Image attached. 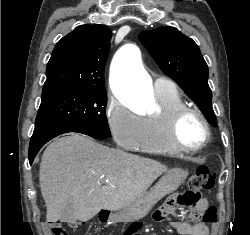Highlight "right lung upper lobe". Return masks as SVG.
Segmentation results:
<instances>
[{"mask_svg":"<svg viewBox=\"0 0 250 235\" xmlns=\"http://www.w3.org/2000/svg\"><path fill=\"white\" fill-rule=\"evenodd\" d=\"M105 25H81L60 39L47 64L42 97L68 90L101 89L110 48Z\"/></svg>","mask_w":250,"mask_h":235,"instance_id":"cb5924a9","label":"right lung upper lobe"}]
</instances>
